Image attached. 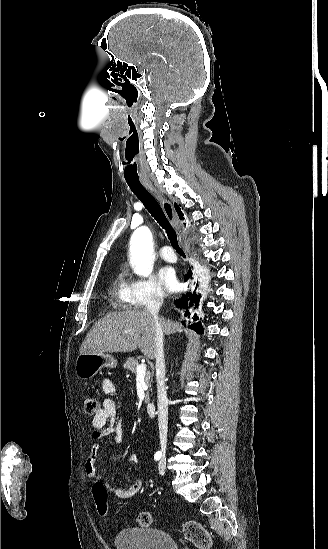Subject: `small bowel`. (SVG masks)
I'll return each mask as SVG.
<instances>
[{"mask_svg":"<svg viewBox=\"0 0 328 549\" xmlns=\"http://www.w3.org/2000/svg\"><path fill=\"white\" fill-rule=\"evenodd\" d=\"M102 389L105 394L114 395L116 393V387L112 380L106 378L102 381ZM92 437L94 439H101L104 437H110L115 442L122 441V425L117 422V405L112 398L104 399L102 408L92 419ZM99 445L94 444L87 456L85 462V469L87 475L94 481L101 480L99 473ZM139 458L136 454L129 457L128 462L130 464L138 463ZM142 481H135L127 488H119L110 486V490L119 498L130 499L136 496L142 489Z\"/></svg>","mask_w":328,"mask_h":549,"instance_id":"1","label":"small bowel"}]
</instances>
